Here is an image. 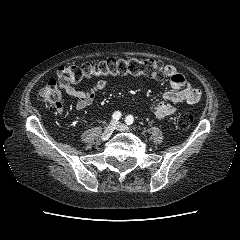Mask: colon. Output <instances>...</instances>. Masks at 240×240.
<instances>
[{"instance_id": "obj_1", "label": "colon", "mask_w": 240, "mask_h": 240, "mask_svg": "<svg viewBox=\"0 0 240 240\" xmlns=\"http://www.w3.org/2000/svg\"><path fill=\"white\" fill-rule=\"evenodd\" d=\"M135 75L161 80L166 75V66L155 59L108 58L98 62H86L78 65H63L57 70L56 77L49 79L40 91V98L51 111L61 109L59 88L73 86L82 80L94 77ZM192 116L180 113L176 125L186 129L192 124Z\"/></svg>"}]
</instances>
